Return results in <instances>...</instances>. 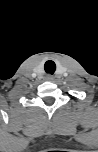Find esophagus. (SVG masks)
Here are the masks:
<instances>
[{
	"label": "esophagus",
	"mask_w": 98,
	"mask_h": 152,
	"mask_svg": "<svg viewBox=\"0 0 98 152\" xmlns=\"http://www.w3.org/2000/svg\"><path fill=\"white\" fill-rule=\"evenodd\" d=\"M45 79L47 81H52L54 79V77L51 74L46 75Z\"/></svg>",
	"instance_id": "esophagus-1"
}]
</instances>
